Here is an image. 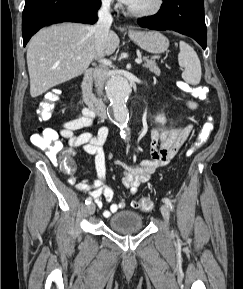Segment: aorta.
Listing matches in <instances>:
<instances>
[{"mask_svg":"<svg viewBox=\"0 0 243 289\" xmlns=\"http://www.w3.org/2000/svg\"><path fill=\"white\" fill-rule=\"evenodd\" d=\"M131 88L126 78L122 76L112 77L106 85V94L110 100L113 118L120 128L121 138L127 140V124L129 112L126 102L130 95Z\"/></svg>","mask_w":243,"mask_h":289,"instance_id":"1","label":"aorta"}]
</instances>
